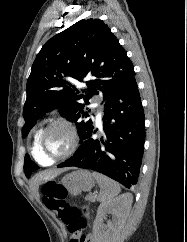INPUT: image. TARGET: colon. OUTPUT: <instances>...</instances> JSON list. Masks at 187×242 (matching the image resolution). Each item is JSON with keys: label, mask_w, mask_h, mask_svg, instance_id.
I'll use <instances>...</instances> for the list:
<instances>
[{"label": "colon", "mask_w": 187, "mask_h": 242, "mask_svg": "<svg viewBox=\"0 0 187 242\" xmlns=\"http://www.w3.org/2000/svg\"><path fill=\"white\" fill-rule=\"evenodd\" d=\"M44 205L65 225L70 234L69 242H88L81 233L86 226L90 210L88 206L78 208L70 205L66 199V188L57 181H49L42 187Z\"/></svg>", "instance_id": "colon-1"}]
</instances>
